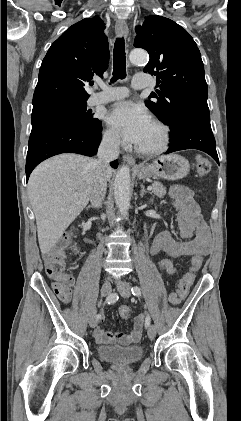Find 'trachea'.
<instances>
[{
	"mask_svg": "<svg viewBox=\"0 0 241 421\" xmlns=\"http://www.w3.org/2000/svg\"><path fill=\"white\" fill-rule=\"evenodd\" d=\"M126 77V56L124 38H117L113 51V77L111 82Z\"/></svg>",
	"mask_w": 241,
	"mask_h": 421,
	"instance_id": "3493384b",
	"label": "trachea"
}]
</instances>
